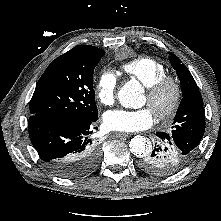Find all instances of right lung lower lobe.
<instances>
[{"label":"right lung lower lobe","mask_w":221,"mask_h":221,"mask_svg":"<svg viewBox=\"0 0 221 221\" xmlns=\"http://www.w3.org/2000/svg\"><path fill=\"white\" fill-rule=\"evenodd\" d=\"M97 118H29L30 140L47 169L60 177L78 178L97 166L100 151L89 138Z\"/></svg>","instance_id":"obj_1"}]
</instances>
